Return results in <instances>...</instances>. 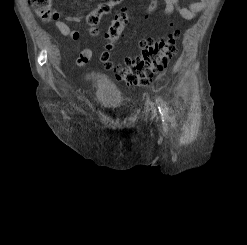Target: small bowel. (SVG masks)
<instances>
[{"instance_id": "c3829d8e", "label": "small bowel", "mask_w": 247, "mask_h": 245, "mask_svg": "<svg viewBox=\"0 0 247 245\" xmlns=\"http://www.w3.org/2000/svg\"><path fill=\"white\" fill-rule=\"evenodd\" d=\"M92 1V0H91ZM164 8L161 14L162 19L169 18L174 12H178L180 16L186 20L193 19L205 6L207 0H191L187 6H183L180 0H162ZM157 2H153L150 6L151 12L155 9ZM83 18V14L67 15L65 12L54 11L53 19L55 27L64 36L70 37L73 40H78L80 34L78 31L73 30L64 20L72 23H79ZM129 20L127 10L121 9L114 17L113 23L108 30H115L117 32V39L123 37V28ZM93 56L91 49H84L80 52L76 63L79 66L85 65Z\"/></svg>"}]
</instances>
